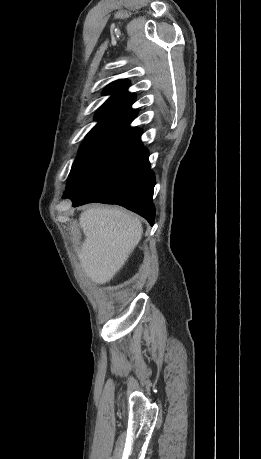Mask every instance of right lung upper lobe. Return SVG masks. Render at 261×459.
Returning <instances> with one entry per match:
<instances>
[{"instance_id":"cb5924a9","label":"right lung upper lobe","mask_w":261,"mask_h":459,"mask_svg":"<svg viewBox=\"0 0 261 459\" xmlns=\"http://www.w3.org/2000/svg\"><path fill=\"white\" fill-rule=\"evenodd\" d=\"M129 82L117 80L112 82L103 92L104 95L112 96L99 108L95 114V119L99 120L97 125L89 132H94L115 127H128L136 117L137 111L131 108L135 101V96L126 89Z\"/></svg>"}]
</instances>
